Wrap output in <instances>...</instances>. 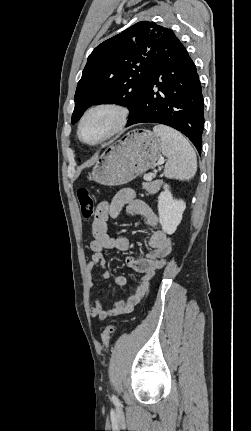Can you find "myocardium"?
Wrapping results in <instances>:
<instances>
[{
  "label": "myocardium",
  "mask_w": 251,
  "mask_h": 431,
  "mask_svg": "<svg viewBox=\"0 0 251 431\" xmlns=\"http://www.w3.org/2000/svg\"><path fill=\"white\" fill-rule=\"evenodd\" d=\"M99 110H109L112 111L115 114V122L113 123L110 130L107 132L105 136H103L101 139L95 141V142H88L83 139L82 137V126L86 120V118L92 114L93 112L99 111ZM129 118V111L126 107L115 103V102H100L97 103L91 107H89L81 116L78 127H77V135L79 140L89 146H97L100 145L107 140L111 139L113 136L118 134L127 124Z\"/></svg>",
  "instance_id": "f54148a6"
}]
</instances>
